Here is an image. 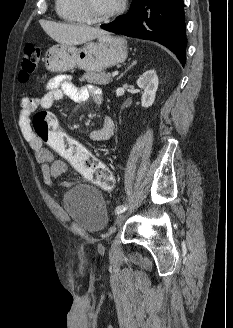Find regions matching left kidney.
Masks as SVG:
<instances>
[{
    "label": "left kidney",
    "instance_id": "obj_1",
    "mask_svg": "<svg viewBox=\"0 0 233 328\" xmlns=\"http://www.w3.org/2000/svg\"><path fill=\"white\" fill-rule=\"evenodd\" d=\"M158 84V76L154 69L144 72L142 76L139 77L137 85L144 90L141 99L142 107L148 108L154 103Z\"/></svg>",
    "mask_w": 233,
    "mask_h": 328
}]
</instances>
